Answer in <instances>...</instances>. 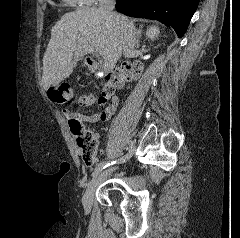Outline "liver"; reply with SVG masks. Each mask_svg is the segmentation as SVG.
<instances>
[{
  "label": "liver",
  "mask_w": 240,
  "mask_h": 238,
  "mask_svg": "<svg viewBox=\"0 0 240 238\" xmlns=\"http://www.w3.org/2000/svg\"><path fill=\"white\" fill-rule=\"evenodd\" d=\"M118 16L125 24L106 18L96 8L64 14L52 27L43 57V88L47 90L69 77L75 65L73 60L82 58L88 45L114 65L122 54L125 29L127 26L134 27L127 17Z\"/></svg>",
  "instance_id": "obj_1"
}]
</instances>
